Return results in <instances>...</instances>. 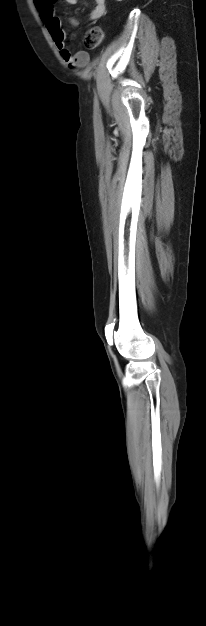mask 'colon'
<instances>
[{
	"mask_svg": "<svg viewBox=\"0 0 206 626\" xmlns=\"http://www.w3.org/2000/svg\"><path fill=\"white\" fill-rule=\"evenodd\" d=\"M103 30L100 27L91 28L85 35L84 42L86 47L94 48L103 40Z\"/></svg>",
	"mask_w": 206,
	"mask_h": 626,
	"instance_id": "1",
	"label": "colon"
}]
</instances>
